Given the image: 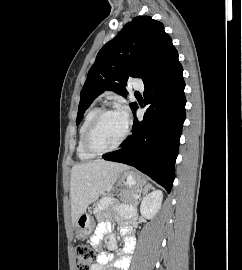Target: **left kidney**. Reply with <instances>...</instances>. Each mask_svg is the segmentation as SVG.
<instances>
[{
	"label": "left kidney",
	"instance_id": "5707ae66",
	"mask_svg": "<svg viewBox=\"0 0 242 270\" xmlns=\"http://www.w3.org/2000/svg\"><path fill=\"white\" fill-rule=\"evenodd\" d=\"M163 193L161 190H154L146 195L140 205V213L147 219H152L161 208Z\"/></svg>",
	"mask_w": 242,
	"mask_h": 270
}]
</instances>
